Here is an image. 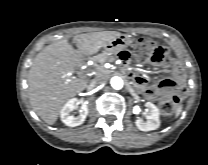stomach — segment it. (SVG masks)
<instances>
[{
	"instance_id": "obj_1",
	"label": "stomach",
	"mask_w": 208,
	"mask_h": 165,
	"mask_svg": "<svg viewBox=\"0 0 208 165\" xmlns=\"http://www.w3.org/2000/svg\"><path fill=\"white\" fill-rule=\"evenodd\" d=\"M130 44L131 39L126 35H121L104 45L103 48L109 53L117 54L127 48Z\"/></svg>"
}]
</instances>
